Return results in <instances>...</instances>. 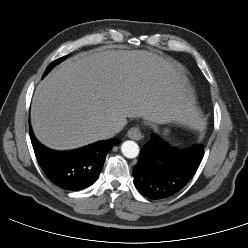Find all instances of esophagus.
Listing matches in <instances>:
<instances>
[{"mask_svg": "<svg viewBox=\"0 0 248 248\" xmlns=\"http://www.w3.org/2000/svg\"><path fill=\"white\" fill-rule=\"evenodd\" d=\"M127 136L133 140H140L143 137L142 133L138 127L130 128L127 132Z\"/></svg>", "mask_w": 248, "mask_h": 248, "instance_id": "obj_1", "label": "esophagus"}]
</instances>
